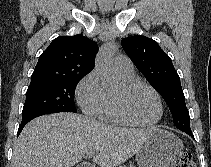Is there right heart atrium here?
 Wrapping results in <instances>:
<instances>
[{"instance_id":"1","label":"right heart atrium","mask_w":211,"mask_h":167,"mask_svg":"<svg viewBox=\"0 0 211 167\" xmlns=\"http://www.w3.org/2000/svg\"><path fill=\"white\" fill-rule=\"evenodd\" d=\"M76 97L85 114L104 119L109 106L108 95L95 71L85 75L78 83Z\"/></svg>"}]
</instances>
